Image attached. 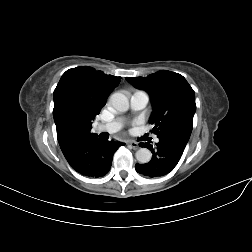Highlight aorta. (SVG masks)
Returning a JSON list of instances; mask_svg holds the SVG:
<instances>
[{"label":"aorta","instance_id":"762f6f07","mask_svg":"<svg viewBox=\"0 0 252 252\" xmlns=\"http://www.w3.org/2000/svg\"><path fill=\"white\" fill-rule=\"evenodd\" d=\"M109 103L116 111L119 112H126L129 109L128 98L120 92L113 93L110 96ZM151 158L152 154L147 148H140L136 152V159L142 164L150 162Z\"/></svg>","mask_w":252,"mask_h":252}]
</instances>
